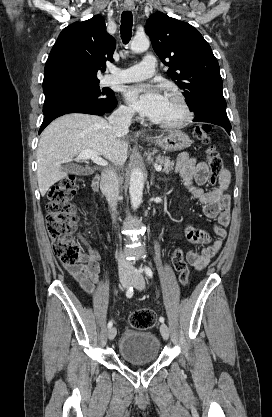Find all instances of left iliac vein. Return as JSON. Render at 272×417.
<instances>
[{
	"mask_svg": "<svg viewBox=\"0 0 272 417\" xmlns=\"http://www.w3.org/2000/svg\"><path fill=\"white\" fill-rule=\"evenodd\" d=\"M133 284H134V287L138 290H142L144 288L145 281L140 270H135L133 274ZM160 332H161L162 337L165 340L169 338V329L166 324L162 323L160 325Z\"/></svg>",
	"mask_w": 272,
	"mask_h": 417,
	"instance_id": "obj_1",
	"label": "left iliac vein"
}]
</instances>
